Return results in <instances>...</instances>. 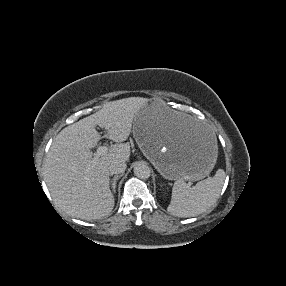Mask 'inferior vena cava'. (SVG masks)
Segmentation results:
<instances>
[{
    "label": "inferior vena cava",
    "mask_w": 286,
    "mask_h": 286,
    "mask_svg": "<svg viewBox=\"0 0 286 286\" xmlns=\"http://www.w3.org/2000/svg\"><path fill=\"white\" fill-rule=\"evenodd\" d=\"M126 170V162L124 160H114L109 166L111 174H121Z\"/></svg>",
    "instance_id": "obj_1"
}]
</instances>
